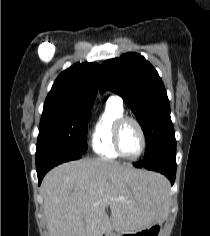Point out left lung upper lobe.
Masks as SVG:
<instances>
[{
	"label": "left lung upper lobe",
	"instance_id": "1",
	"mask_svg": "<svg viewBox=\"0 0 210 236\" xmlns=\"http://www.w3.org/2000/svg\"><path fill=\"white\" fill-rule=\"evenodd\" d=\"M120 95L135 114L146 138L145 156L175 137L170 105L158 72L137 53H126L103 63L100 90Z\"/></svg>",
	"mask_w": 210,
	"mask_h": 236
}]
</instances>
